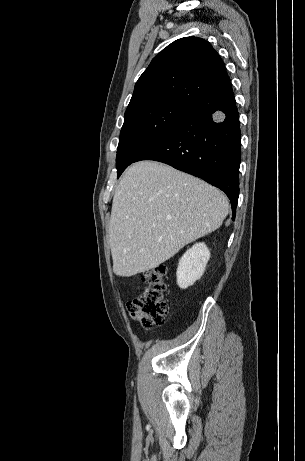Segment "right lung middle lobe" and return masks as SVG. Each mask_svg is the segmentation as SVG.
<instances>
[{
    "label": "right lung middle lobe",
    "mask_w": 305,
    "mask_h": 461,
    "mask_svg": "<svg viewBox=\"0 0 305 461\" xmlns=\"http://www.w3.org/2000/svg\"><path fill=\"white\" fill-rule=\"evenodd\" d=\"M188 108L185 104L163 102L125 114L117 148V173L164 137Z\"/></svg>",
    "instance_id": "dd1d6c3e"
}]
</instances>
